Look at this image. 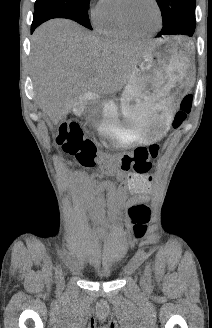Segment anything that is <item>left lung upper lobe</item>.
<instances>
[{
	"instance_id": "obj_1",
	"label": "left lung upper lobe",
	"mask_w": 212,
	"mask_h": 328,
	"mask_svg": "<svg viewBox=\"0 0 212 328\" xmlns=\"http://www.w3.org/2000/svg\"><path fill=\"white\" fill-rule=\"evenodd\" d=\"M163 18L162 35H191L195 30L196 0H156Z\"/></svg>"
}]
</instances>
